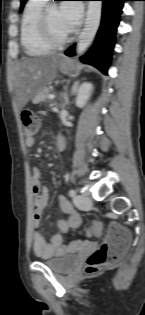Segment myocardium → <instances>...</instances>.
Instances as JSON below:
<instances>
[{
  "label": "myocardium",
  "instance_id": "obj_1",
  "mask_svg": "<svg viewBox=\"0 0 145 315\" xmlns=\"http://www.w3.org/2000/svg\"><path fill=\"white\" fill-rule=\"evenodd\" d=\"M51 6L45 7L41 12L38 20V31L41 38L47 43L51 48H60L66 45L72 39V32L63 39H56L50 29L49 15Z\"/></svg>",
  "mask_w": 145,
  "mask_h": 315
}]
</instances>
